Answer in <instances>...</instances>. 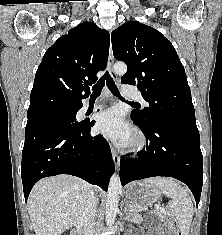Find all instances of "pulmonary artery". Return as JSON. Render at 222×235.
I'll use <instances>...</instances> for the list:
<instances>
[{"mask_svg":"<svg viewBox=\"0 0 222 235\" xmlns=\"http://www.w3.org/2000/svg\"><path fill=\"white\" fill-rule=\"evenodd\" d=\"M122 94L126 97H129V98H132L134 100H137V101H140L142 102L144 105L146 104V102L143 100L140 92L133 88V87H130V86H123L122 87ZM102 101V99H97L95 102H94V105H97L99 104L100 102ZM90 106V104L87 102L85 103L83 109L86 110L88 109V107Z\"/></svg>","mask_w":222,"mask_h":235,"instance_id":"1","label":"pulmonary artery"}]
</instances>
